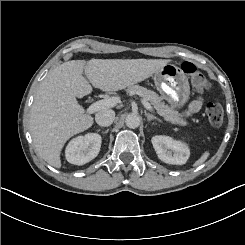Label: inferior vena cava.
Returning a JSON list of instances; mask_svg holds the SVG:
<instances>
[{
	"instance_id": "1",
	"label": "inferior vena cava",
	"mask_w": 245,
	"mask_h": 245,
	"mask_svg": "<svg viewBox=\"0 0 245 245\" xmlns=\"http://www.w3.org/2000/svg\"><path fill=\"white\" fill-rule=\"evenodd\" d=\"M115 119V112L111 109H102L95 115V120L100 126H109Z\"/></svg>"
}]
</instances>
